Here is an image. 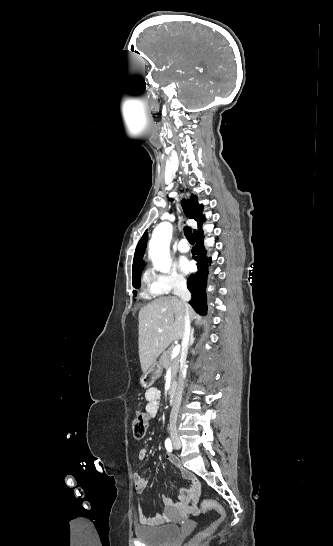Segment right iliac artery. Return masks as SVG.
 <instances>
[{
    "label": "right iliac artery",
    "instance_id": "82829eb1",
    "mask_svg": "<svg viewBox=\"0 0 333 546\" xmlns=\"http://www.w3.org/2000/svg\"><path fill=\"white\" fill-rule=\"evenodd\" d=\"M165 447H166L167 451H169V452H171L172 449H173L171 440L169 438H167L165 440Z\"/></svg>",
    "mask_w": 333,
    "mask_h": 546
}]
</instances>
